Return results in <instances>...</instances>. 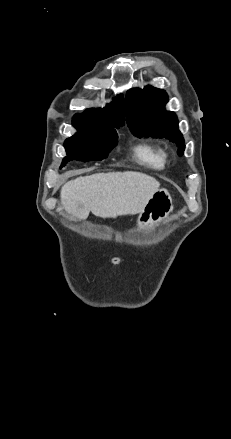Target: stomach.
<instances>
[{
    "instance_id": "stomach-1",
    "label": "stomach",
    "mask_w": 231,
    "mask_h": 439,
    "mask_svg": "<svg viewBox=\"0 0 231 439\" xmlns=\"http://www.w3.org/2000/svg\"><path fill=\"white\" fill-rule=\"evenodd\" d=\"M173 209L172 197L168 190L159 188L148 201L138 217L139 228H151L169 217Z\"/></svg>"
}]
</instances>
